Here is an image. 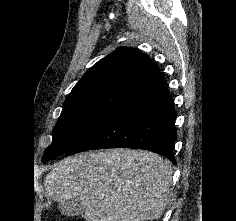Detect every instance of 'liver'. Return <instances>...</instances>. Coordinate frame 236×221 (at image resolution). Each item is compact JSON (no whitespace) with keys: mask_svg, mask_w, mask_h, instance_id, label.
Masks as SVG:
<instances>
[{"mask_svg":"<svg viewBox=\"0 0 236 221\" xmlns=\"http://www.w3.org/2000/svg\"><path fill=\"white\" fill-rule=\"evenodd\" d=\"M173 170L150 151H89L65 158L44 186L57 202L79 201L86 221H153L169 204Z\"/></svg>","mask_w":236,"mask_h":221,"instance_id":"liver-1","label":"liver"}]
</instances>
